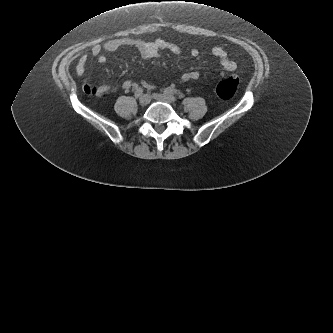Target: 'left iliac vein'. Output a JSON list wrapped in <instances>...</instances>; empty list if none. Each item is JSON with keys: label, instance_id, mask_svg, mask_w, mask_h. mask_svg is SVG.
Returning a JSON list of instances; mask_svg holds the SVG:
<instances>
[{"label": "left iliac vein", "instance_id": "obj_1", "mask_svg": "<svg viewBox=\"0 0 333 333\" xmlns=\"http://www.w3.org/2000/svg\"><path fill=\"white\" fill-rule=\"evenodd\" d=\"M152 97L155 100L166 102V103H174L176 101V98L173 95H166V94H158L154 93Z\"/></svg>", "mask_w": 333, "mask_h": 333}]
</instances>
